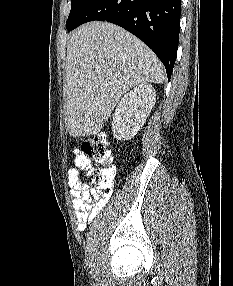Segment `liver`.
I'll return each instance as SVG.
<instances>
[{"label": "liver", "mask_w": 233, "mask_h": 286, "mask_svg": "<svg viewBox=\"0 0 233 286\" xmlns=\"http://www.w3.org/2000/svg\"><path fill=\"white\" fill-rule=\"evenodd\" d=\"M164 80L162 64L140 39L108 22L82 25L67 46L68 132L73 137L97 134L130 88Z\"/></svg>", "instance_id": "6515ba94"}]
</instances>
